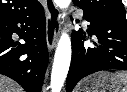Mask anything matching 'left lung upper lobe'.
<instances>
[{
  "instance_id": "left-lung-upper-lobe-1",
  "label": "left lung upper lobe",
  "mask_w": 127,
  "mask_h": 92,
  "mask_svg": "<svg viewBox=\"0 0 127 92\" xmlns=\"http://www.w3.org/2000/svg\"><path fill=\"white\" fill-rule=\"evenodd\" d=\"M73 3L91 14L126 19L121 0H73Z\"/></svg>"
}]
</instances>
